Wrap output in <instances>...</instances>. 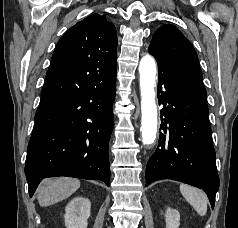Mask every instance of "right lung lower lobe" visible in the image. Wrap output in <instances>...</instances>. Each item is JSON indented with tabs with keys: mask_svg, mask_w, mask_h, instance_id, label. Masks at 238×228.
<instances>
[{
	"mask_svg": "<svg viewBox=\"0 0 238 228\" xmlns=\"http://www.w3.org/2000/svg\"><path fill=\"white\" fill-rule=\"evenodd\" d=\"M115 91L116 77L93 90L39 105L25 162L30 197L46 177L98 179L110 185Z\"/></svg>",
	"mask_w": 238,
	"mask_h": 228,
	"instance_id": "right-lung-lower-lobe-1",
	"label": "right lung lower lobe"
}]
</instances>
